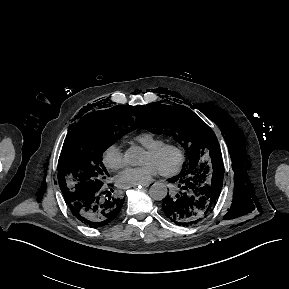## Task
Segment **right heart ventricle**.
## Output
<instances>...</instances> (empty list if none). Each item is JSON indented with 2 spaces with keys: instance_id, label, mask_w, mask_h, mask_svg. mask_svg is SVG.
<instances>
[{
  "instance_id": "e07e8e85",
  "label": "right heart ventricle",
  "mask_w": 289,
  "mask_h": 289,
  "mask_svg": "<svg viewBox=\"0 0 289 289\" xmlns=\"http://www.w3.org/2000/svg\"><path fill=\"white\" fill-rule=\"evenodd\" d=\"M133 139L136 142H138L139 144H141L146 149L155 147V146L165 142V140L163 138L155 135L154 133H152L150 131H141V132L137 133L133 137Z\"/></svg>"
}]
</instances>
